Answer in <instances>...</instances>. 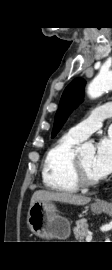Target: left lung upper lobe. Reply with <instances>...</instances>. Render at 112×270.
Instances as JSON below:
<instances>
[{
	"instance_id": "5c2ea615",
	"label": "left lung upper lobe",
	"mask_w": 112,
	"mask_h": 270,
	"mask_svg": "<svg viewBox=\"0 0 112 270\" xmlns=\"http://www.w3.org/2000/svg\"><path fill=\"white\" fill-rule=\"evenodd\" d=\"M86 81L81 78L74 79L64 90L59 108L55 115L52 137L61 129L73 109L83 101L84 85Z\"/></svg>"
}]
</instances>
